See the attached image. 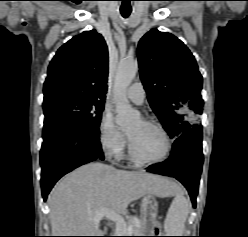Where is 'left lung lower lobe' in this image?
Returning a JSON list of instances; mask_svg holds the SVG:
<instances>
[{
    "label": "left lung lower lobe",
    "instance_id": "obj_1",
    "mask_svg": "<svg viewBox=\"0 0 248 237\" xmlns=\"http://www.w3.org/2000/svg\"><path fill=\"white\" fill-rule=\"evenodd\" d=\"M202 164V129L193 127L176 138L167 161L151 165L147 171L179 180L187 188L195 207Z\"/></svg>",
    "mask_w": 248,
    "mask_h": 237
}]
</instances>
